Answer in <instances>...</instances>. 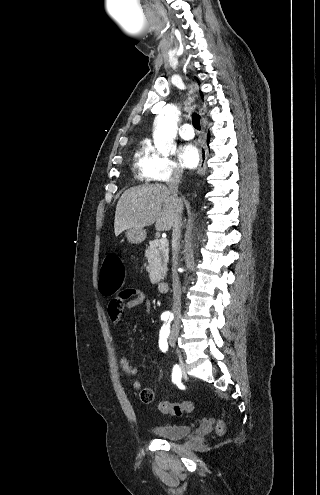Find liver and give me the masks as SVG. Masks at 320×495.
<instances>
[{"label": "liver", "instance_id": "obj_1", "mask_svg": "<svg viewBox=\"0 0 320 495\" xmlns=\"http://www.w3.org/2000/svg\"><path fill=\"white\" fill-rule=\"evenodd\" d=\"M183 205L164 185H142L126 190L115 212V236L130 228L147 227L155 223L157 231H169Z\"/></svg>", "mask_w": 320, "mask_h": 495}]
</instances>
